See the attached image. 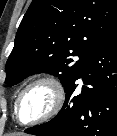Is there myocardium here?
Returning <instances> with one entry per match:
<instances>
[{"label": "myocardium", "mask_w": 117, "mask_h": 136, "mask_svg": "<svg viewBox=\"0 0 117 136\" xmlns=\"http://www.w3.org/2000/svg\"><path fill=\"white\" fill-rule=\"evenodd\" d=\"M38 85H45L51 89L54 95L53 105L51 109L41 117H38L30 121H22L19 115V108L22 99L30 89ZM65 96L66 93H65L64 85L58 77L53 75H44L38 77L33 81H31L30 83H28L19 93L15 104V117L17 121L23 125H34V124L46 122L54 118L60 112L65 102Z\"/></svg>", "instance_id": "obj_1"}]
</instances>
